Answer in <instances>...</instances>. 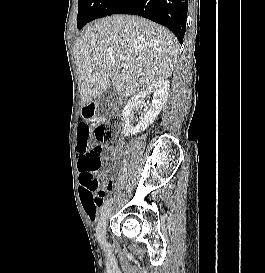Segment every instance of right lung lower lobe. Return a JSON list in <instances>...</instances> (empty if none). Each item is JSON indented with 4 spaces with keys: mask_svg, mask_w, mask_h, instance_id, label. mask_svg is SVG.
<instances>
[{
    "mask_svg": "<svg viewBox=\"0 0 265 273\" xmlns=\"http://www.w3.org/2000/svg\"><path fill=\"white\" fill-rule=\"evenodd\" d=\"M187 0H118L106 16L132 14L166 26L180 43L186 32Z\"/></svg>",
    "mask_w": 265,
    "mask_h": 273,
    "instance_id": "obj_1",
    "label": "right lung lower lobe"
}]
</instances>
